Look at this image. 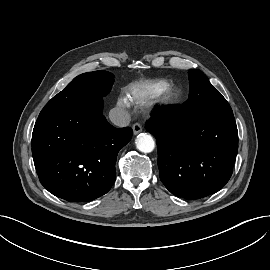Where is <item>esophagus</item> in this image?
<instances>
[{"mask_svg":"<svg viewBox=\"0 0 270 270\" xmlns=\"http://www.w3.org/2000/svg\"><path fill=\"white\" fill-rule=\"evenodd\" d=\"M132 129H133V134H134V135L139 134V133L142 132V130H143V128H142V126H141L140 123H135V124H133Z\"/></svg>","mask_w":270,"mask_h":270,"instance_id":"34e87169","label":"esophagus"}]
</instances>
